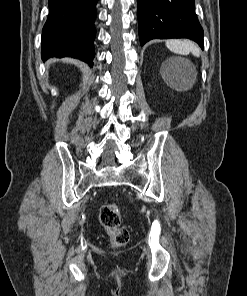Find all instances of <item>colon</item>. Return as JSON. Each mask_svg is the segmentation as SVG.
Listing matches in <instances>:
<instances>
[{"label":"colon","mask_w":247,"mask_h":296,"mask_svg":"<svg viewBox=\"0 0 247 296\" xmlns=\"http://www.w3.org/2000/svg\"><path fill=\"white\" fill-rule=\"evenodd\" d=\"M99 220L111 238L114 247H122L129 241V231L121 227V215L116 204L108 203L99 210Z\"/></svg>","instance_id":"colon-1"}]
</instances>
